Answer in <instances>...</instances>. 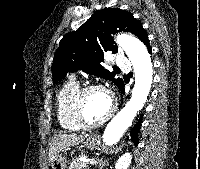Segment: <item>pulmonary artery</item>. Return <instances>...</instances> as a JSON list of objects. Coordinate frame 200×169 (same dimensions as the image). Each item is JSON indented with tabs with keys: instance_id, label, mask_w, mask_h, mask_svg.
Masks as SVG:
<instances>
[{
	"instance_id": "1",
	"label": "pulmonary artery",
	"mask_w": 200,
	"mask_h": 169,
	"mask_svg": "<svg viewBox=\"0 0 200 169\" xmlns=\"http://www.w3.org/2000/svg\"><path fill=\"white\" fill-rule=\"evenodd\" d=\"M115 64L120 66V67H125L128 65V61L126 58L120 54L115 56Z\"/></svg>"
}]
</instances>
